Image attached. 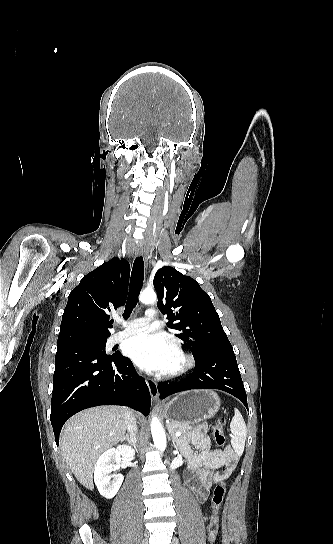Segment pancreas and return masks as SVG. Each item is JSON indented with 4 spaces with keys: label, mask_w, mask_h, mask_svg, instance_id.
I'll return each instance as SVG.
<instances>
[{
    "label": "pancreas",
    "mask_w": 333,
    "mask_h": 544,
    "mask_svg": "<svg viewBox=\"0 0 333 544\" xmlns=\"http://www.w3.org/2000/svg\"><path fill=\"white\" fill-rule=\"evenodd\" d=\"M167 428L170 433L174 434L175 432H180L182 434H195L198 432L197 428L192 426H187L178 422H170L167 424Z\"/></svg>",
    "instance_id": "obj_1"
}]
</instances>
